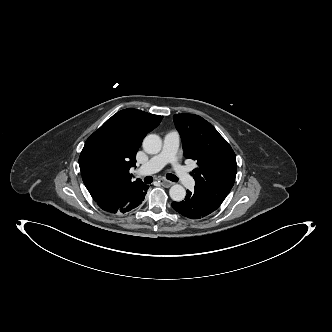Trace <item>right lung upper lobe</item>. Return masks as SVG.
I'll list each match as a JSON object with an SVG mask.
<instances>
[{
  "label": "right lung upper lobe",
  "instance_id": "obj_1",
  "mask_svg": "<svg viewBox=\"0 0 332 332\" xmlns=\"http://www.w3.org/2000/svg\"><path fill=\"white\" fill-rule=\"evenodd\" d=\"M162 118L133 108L124 109L109 118L87 139L79 157V166L83 182L95 201L142 182L139 179L132 181L130 168L135 166L142 140L159 125ZM105 132L110 133L115 149L108 160L96 162L90 158L89 149L96 138Z\"/></svg>",
  "mask_w": 332,
  "mask_h": 332
}]
</instances>
